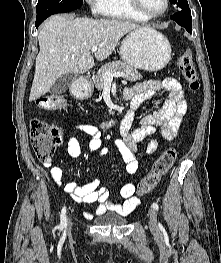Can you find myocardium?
Returning a JSON list of instances; mask_svg holds the SVG:
<instances>
[{
	"instance_id": "myocardium-1",
	"label": "myocardium",
	"mask_w": 221,
	"mask_h": 263,
	"mask_svg": "<svg viewBox=\"0 0 221 263\" xmlns=\"http://www.w3.org/2000/svg\"><path fill=\"white\" fill-rule=\"evenodd\" d=\"M129 1L133 9L137 11L145 20L156 19L164 15L168 11L169 6H170V0H165V7L162 11L158 13H154V14H149L145 12V10L143 9L140 0H129Z\"/></svg>"
}]
</instances>
